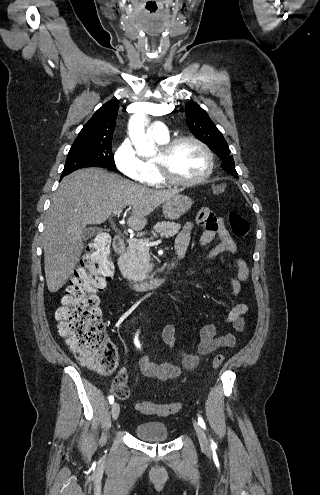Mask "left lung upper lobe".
Masks as SVG:
<instances>
[{"label":"left lung upper lobe","mask_w":320,"mask_h":495,"mask_svg":"<svg viewBox=\"0 0 320 495\" xmlns=\"http://www.w3.org/2000/svg\"><path fill=\"white\" fill-rule=\"evenodd\" d=\"M185 110L188 127L195 137L216 153L222 160L221 167L226 172L237 178L238 174L228 144L207 112L195 102H187Z\"/></svg>","instance_id":"5c2ea615"}]
</instances>
